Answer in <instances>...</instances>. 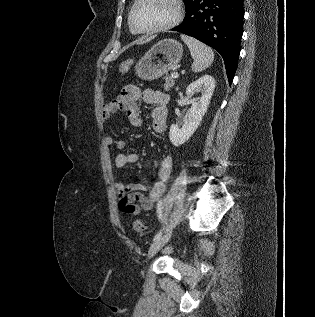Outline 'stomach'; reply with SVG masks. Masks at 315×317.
<instances>
[{
  "label": "stomach",
  "instance_id": "1",
  "mask_svg": "<svg viewBox=\"0 0 315 317\" xmlns=\"http://www.w3.org/2000/svg\"><path fill=\"white\" fill-rule=\"evenodd\" d=\"M183 47L174 39H164L156 43L135 66L137 76L144 80H154L173 69L181 60Z\"/></svg>",
  "mask_w": 315,
  "mask_h": 317
}]
</instances>
